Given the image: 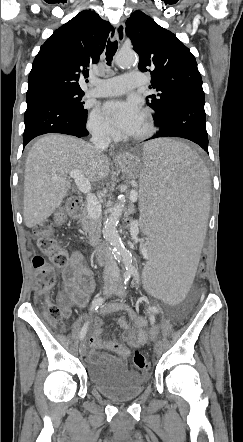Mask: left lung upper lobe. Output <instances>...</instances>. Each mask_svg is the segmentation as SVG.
<instances>
[{"mask_svg":"<svg viewBox=\"0 0 243 442\" xmlns=\"http://www.w3.org/2000/svg\"><path fill=\"white\" fill-rule=\"evenodd\" d=\"M126 25V33L140 57L138 68L151 73L150 88L159 91L148 96L146 102L156 112L154 121L164 115L177 95L187 91L203 92L195 57L176 35L142 11L132 13Z\"/></svg>","mask_w":243,"mask_h":442,"instance_id":"5c2ea615","label":"left lung upper lobe"}]
</instances>
